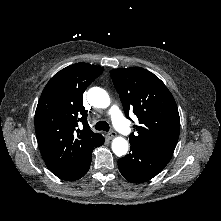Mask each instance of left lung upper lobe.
<instances>
[{
	"label": "left lung upper lobe",
	"mask_w": 221,
	"mask_h": 221,
	"mask_svg": "<svg viewBox=\"0 0 221 221\" xmlns=\"http://www.w3.org/2000/svg\"><path fill=\"white\" fill-rule=\"evenodd\" d=\"M110 74L126 117L133 111L138 118L130 143L171 159L179 138L180 117L170 91L156 75L140 67L114 69Z\"/></svg>",
	"instance_id": "5c2ea615"
}]
</instances>
